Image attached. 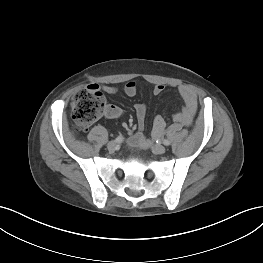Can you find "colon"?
<instances>
[{"label":"colon","instance_id":"5ec220e1","mask_svg":"<svg viewBox=\"0 0 263 263\" xmlns=\"http://www.w3.org/2000/svg\"><path fill=\"white\" fill-rule=\"evenodd\" d=\"M73 118L80 129L98 120L106 111V100L96 86L78 91L71 101Z\"/></svg>","mask_w":263,"mask_h":263}]
</instances>
